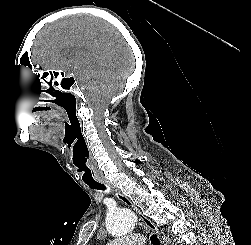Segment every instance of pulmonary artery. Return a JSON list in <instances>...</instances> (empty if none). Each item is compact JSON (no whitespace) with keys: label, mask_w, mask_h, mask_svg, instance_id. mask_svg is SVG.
Returning a JSON list of instances; mask_svg holds the SVG:
<instances>
[{"label":"pulmonary artery","mask_w":251,"mask_h":245,"mask_svg":"<svg viewBox=\"0 0 251 245\" xmlns=\"http://www.w3.org/2000/svg\"><path fill=\"white\" fill-rule=\"evenodd\" d=\"M143 235H132L125 239H116L108 243L107 245H143Z\"/></svg>","instance_id":"1"}]
</instances>
